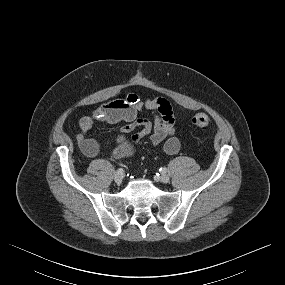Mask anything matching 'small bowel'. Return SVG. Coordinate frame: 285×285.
<instances>
[{"mask_svg": "<svg viewBox=\"0 0 285 285\" xmlns=\"http://www.w3.org/2000/svg\"><path fill=\"white\" fill-rule=\"evenodd\" d=\"M153 113V120L140 117L143 111ZM123 122L121 132L140 131L132 137L137 144L143 137L150 136L152 145L163 144L165 153L176 154L180 149V140L175 135V120L171 105L164 98L142 100L137 94L130 93L123 99L107 102L84 116L79 121L77 142L85 155L94 157L99 151L95 140L88 138V132L95 123L117 124Z\"/></svg>", "mask_w": 285, "mask_h": 285, "instance_id": "small-bowel-1", "label": "small bowel"}]
</instances>
